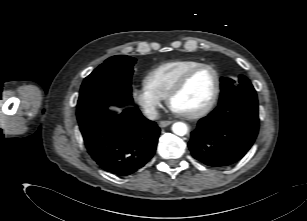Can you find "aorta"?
Listing matches in <instances>:
<instances>
[{
	"label": "aorta",
	"instance_id": "obj_1",
	"mask_svg": "<svg viewBox=\"0 0 307 221\" xmlns=\"http://www.w3.org/2000/svg\"><path fill=\"white\" fill-rule=\"evenodd\" d=\"M172 131L178 136H184L188 132V127L183 122H176L172 125Z\"/></svg>",
	"mask_w": 307,
	"mask_h": 221
}]
</instances>
